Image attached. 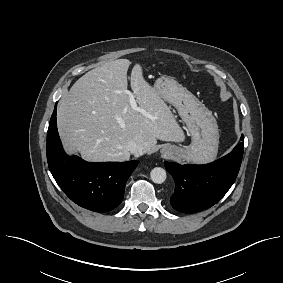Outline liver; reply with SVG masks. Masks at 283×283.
<instances>
[{"label": "liver", "mask_w": 283, "mask_h": 283, "mask_svg": "<svg viewBox=\"0 0 283 283\" xmlns=\"http://www.w3.org/2000/svg\"><path fill=\"white\" fill-rule=\"evenodd\" d=\"M130 64L127 59H117L90 70L58 104V131L63 143L87 161H127L130 141L140 144L144 154L157 140L185 139L170 108L145 81L140 64L132 69L131 88L138 107L146 114L131 108L126 93Z\"/></svg>", "instance_id": "liver-1"}]
</instances>
